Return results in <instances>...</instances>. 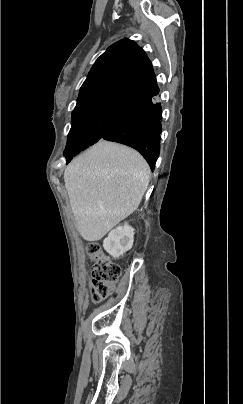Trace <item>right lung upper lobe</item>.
Here are the masks:
<instances>
[{
  "mask_svg": "<svg viewBox=\"0 0 243 404\" xmlns=\"http://www.w3.org/2000/svg\"><path fill=\"white\" fill-rule=\"evenodd\" d=\"M154 92L159 88L146 53L134 41L123 39L97 59L80 89L75 108L110 100L128 103Z\"/></svg>",
  "mask_w": 243,
  "mask_h": 404,
  "instance_id": "cb5924a9",
  "label": "right lung upper lobe"
}]
</instances>
